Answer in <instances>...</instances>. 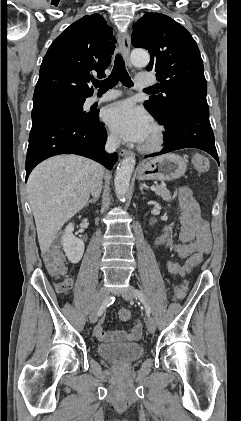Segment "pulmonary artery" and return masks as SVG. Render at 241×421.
<instances>
[{
    "label": "pulmonary artery",
    "mask_w": 241,
    "mask_h": 421,
    "mask_svg": "<svg viewBox=\"0 0 241 421\" xmlns=\"http://www.w3.org/2000/svg\"><path fill=\"white\" fill-rule=\"evenodd\" d=\"M156 83V80L152 77L149 76H138L136 78V85L137 87L143 88V87H148L151 85H154ZM121 94L118 91H110L107 92L105 94H103L102 96H92L89 99V103L90 104H94V103H102V102H106L112 99H115L117 97H119Z\"/></svg>",
    "instance_id": "e3ab8cb5"
}]
</instances>
